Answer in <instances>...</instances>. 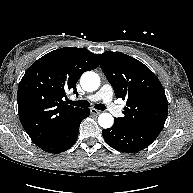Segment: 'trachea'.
Listing matches in <instances>:
<instances>
[{
    "label": "trachea",
    "mask_w": 193,
    "mask_h": 193,
    "mask_svg": "<svg viewBox=\"0 0 193 193\" xmlns=\"http://www.w3.org/2000/svg\"><path fill=\"white\" fill-rule=\"evenodd\" d=\"M68 104L77 106V107H82V108H87L89 107V102L86 100H79V101H71V100H67ZM95 108L98 110H105L106 107L104 104H96Z\"/></svg>",
    "instance_id": "obj_1"
}]
</instances>
